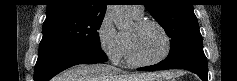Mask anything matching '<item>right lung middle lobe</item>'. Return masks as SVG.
<instances>
[{
	"label": "right lung middle lobe",
	"mask_w": 237,
	"mask_h": 81,
	"mask_svg": "<svg viewBox=\"0 0 237 81\" xmlns=\"http://www.w3.org/2000/svg\"><path fill=\"white\" fill-rule=\"evenodd\" d=\"M103 17L57 16L43 23L40 45L101 49L98 30Z\"/></svg>",
	"instance_id": "1"
}]
</instances>
